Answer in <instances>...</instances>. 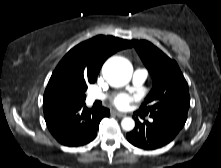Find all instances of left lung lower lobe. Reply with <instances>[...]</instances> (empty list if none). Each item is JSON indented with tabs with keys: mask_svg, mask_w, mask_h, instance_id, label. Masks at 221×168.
Listing matches in <instances>:
<instances>
[{
	"mask_svg": "<svg viewBox=\"0 0 221 168\" xmlns=\"http://www.w3.org/2000/svg\"><path fill=\"white\" fill-rule=\"evenodd\" d=\"M135 114L144 117L137 111ZM152 119L151 123L148 121L141 123L136 118L135 128L127 133V140L138 148L154 150L170 143L184 126L170 118L152 117Z\"/></svg>",
	"mask_w": 221,
	"mask_h": 168,
	"instance_id": "0a47b994",
	"label": "left lung lower lobe"
}]
</instances>
